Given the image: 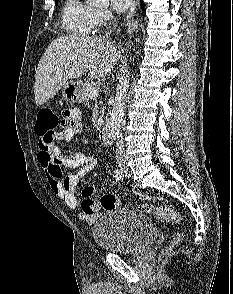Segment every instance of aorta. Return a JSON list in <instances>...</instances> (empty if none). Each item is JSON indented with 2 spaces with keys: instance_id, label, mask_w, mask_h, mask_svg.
<instances>
[{
  "instance_id": "aorta-1",
  "label": "aorta",
  "mask_w": 233,
  "mask_h": 294,
  "mask_svg": "<svg viewBox=\"0 0 233 294\" xmlns=\"http://www.w3.org/2000/svg\"><path fill=\"white\" fill-rule=\"evenodd\" d=\"M108 0H86L87 3L92 5H103ZM129 75L128 69H124L122 72L119 82L116 88V95L113 104V109L111 113V119L109 124L108 136L111 139H116L121 134V129L123 126V116L126 108L127 90L129 85Z\"/></svg>"
}]
</instances>
